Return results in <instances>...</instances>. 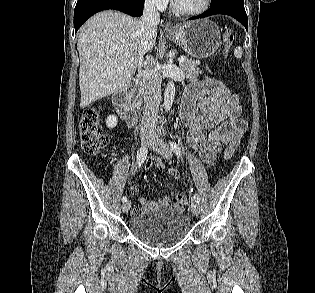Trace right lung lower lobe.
<instances>
[{"instance_id": "1", "label": "right lung lower lobe", "mask_w": 315, "mask_h": 293, "mask_svg": "<svg viewBox=\"0 0 315 293\" xmlns=\"http://www.w3.org/2000/svg\"><path fill=\"white\" fill-rule=\"evenodd\" d=\"M144 0H78L74 10L75 32L95 13L115 9L134 17L143 14Z\"/></svg>"}]
</instances>
